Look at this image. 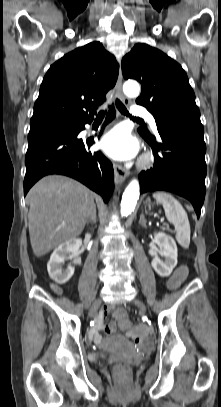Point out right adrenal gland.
I'll list each match as a JSON object with an SVG mask.
<instances>
[{
    "label": "right adrenal gland",
    "instance_id": "2a0ac1e0",
    "mask_svg": "<svg viewBox=\"0 0 221 407\" xmlns=\"http://www.w3.org/2000/svg\"><path fill=\"white\" fill-rule=\"evenodd\" d=\"M96 221H97L96 206H94L92 215H91V217L89 218V220L87 221V224L96 223Z\"/></svg>",
    "mask_w": 221,
    "mask_h": 407
}]
</instances>
